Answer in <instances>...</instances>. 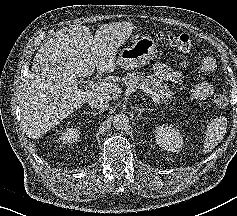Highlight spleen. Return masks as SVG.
<instances>
[{
  "mask_svg": "<svg viewBox=\"0 0 237 216\" xmlns=\"http://www.w3.org/2000/svg\"><path fill=\"white\" fill-rule=\"evenodd\" d=\"M209 143H210V140L206 139V140L203 142V147L206 148Z\"/></svg>",
  "mask_w": 237,
  "mask_h": 216,
  "instance_id": "spleen-1",
  "label": "spleen"
}]
</instances>
